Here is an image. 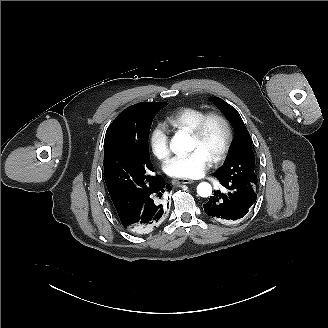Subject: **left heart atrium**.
Masks as SVG:
<instances>
[{
    "mask_svg": "<svg viewBox=\"0 0 328 328\" xmlns=\"http://www.w3.org/2000/svg\"><path fill=\"white\" fill-rule=\"evenodd\" d=\"M212 160L203 151L196 149L175 156L164 164L166 173L173 177L197 179L211 167Z\"/></svg>",
    "mask_w": 328,
    "mask_h": 328,
    "instance_id": "left-heart-atrium-1",
    "label": "left heart atrium"
}]
</instances>
